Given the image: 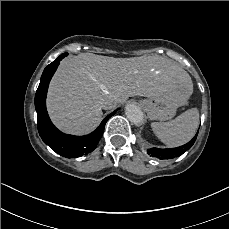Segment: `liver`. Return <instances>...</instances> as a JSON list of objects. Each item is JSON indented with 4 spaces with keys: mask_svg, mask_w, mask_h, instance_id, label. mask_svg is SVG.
<instances>
[{
    "mask_svg": "<svg viewBox=\"0 0 229 229\" xmlns=\"http://www.w3.org/2000/svg\"><path fill=\"white\" fill-rule=\"evenodd\" d=\"M192 89L188 73L159 55L120 59L80 54L62 61L50 85L48 110L62 130L83 133L99 122L109 101L122 104L133 96L153 98Z\"/></svg>",
    "mask_w": 229,
    "mask_h": 229,
    "instance_id": "liver-1",
    "label": "liver"
}]
</instances>
